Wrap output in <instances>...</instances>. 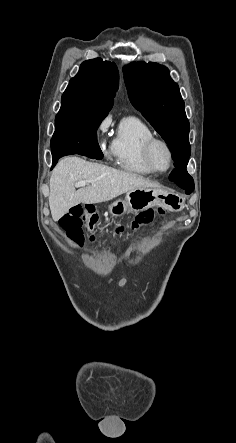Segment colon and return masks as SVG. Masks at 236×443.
<instances>
[{
	"instance_id": "colon-1",
	"label": "colon",
	"mask_w": 236,
	"mask_h": 443,
	"mask_svg": "<svg viewBox=\"0 0 236 443\" xmlns=\"http://www.w3.org/2000/svg\"><path fill=\"white\" fill-rule=\"evenodd\" d=\"M164 214L163 209L158 210H146L139 213L129 224L118 225L114 231L117 234L123 233L126 229L131 231H138L142 227L152 223L157 215ZM61 227L67 232L78 244L83 245L85 242V236L83 233V226L89 228L99 226L100 221L96 213L84 207L82 205H74L68 211H66L60 219ZM94 237L92 235L87 237L88 242H93Z\"/></svg>"
}]
</instances>
